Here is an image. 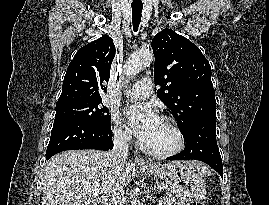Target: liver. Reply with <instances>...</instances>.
I'll list each match as a JSON object with an SVG mask.
<instances>
[{
    "label": "liver",
    "mask_w": 269,
    "mask_h": 205,
    "mask_svg": "<svg viewBox=\"0 0 269 205\" xmlns=\"http://www.w3.org/2000/svg\"><path fill=\"white\" fill-rule=\"evenodd\" d=\"M198 173H206L204 164L184 162ZM133 164L116 169L108 153L97 150L66 151L52 157L45 166L42 205H98L116 183L131 181ZM99 189L95 196L87 189Z\"/></svg>",
    "instance_id": "liver-1"
}]
</instances>
